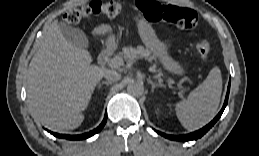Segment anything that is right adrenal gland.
I'll use <instances>...</instances> for the list:
<instances>
[{
    "label": "right adrenal gland",
    "instance_id": "right-adrenal-gland-1",
    "mask_svg": "<svg viewBox=\"0 0 259 156\" xmlns=\"http://www.w3.org/2000/svg\"><path fill=\"white\" fill-rule=\"evenodd\" d=\"M106 84L107 86H109L110 84H112V81H103L101 83H99L98 85V89H100L102 87V85Z\"/></svg>",
    "mask_w": 259,
    "mask_h": 156
}]
</instances>
